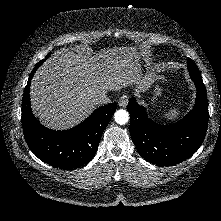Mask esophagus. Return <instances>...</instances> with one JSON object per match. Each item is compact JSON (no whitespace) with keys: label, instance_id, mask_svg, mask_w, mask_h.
Returning <instances> with one entry per match:
<instances>
[{"label":"esophagus","instance_id":"1","mask_svg":"<svg viewBox=\"0 0 221 221\" xmlns=\"http://www.w3.org/2000/svg\"><path fill=\"white\" fill-rule=\"evenodd\" d=\"M128 104V96L122 95L118 101V105L122 108H125Z\"/></svg>","mask_w":221,"mask_h":221}]
</instances>
